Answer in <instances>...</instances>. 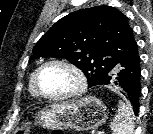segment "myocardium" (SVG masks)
Segmentation results:
<instances>
[{
    "label": "myocardium",
    "mask_w": 153,
    "mask_h": 134,
    "mask_svg": "<svg viewBox=\"0 0 153 134\" xmlns=\"http://www.w3.org/2000/svg\"><path fill=\"white\" fill-rule=\"evenodd\" d=\"M52 65H57V66H62L65 67L66 69L70 70L76 77L77 79V85L76 87L64 94L60 95H49L44 92L39 87V77L42 73V71ZM88 80L85 72L82 70L81 67H79L77 64L74 62H71L66 59H60V58H54L47 60L46 62L42 63L36 70L33 78V85L34 89L37 93V95L43 99L50 100V101H63L67 99H71L74 97H77L81 95L87 88Z\"/></svg>",
    "instance_id": "f54148a6"
}]
</instances>
